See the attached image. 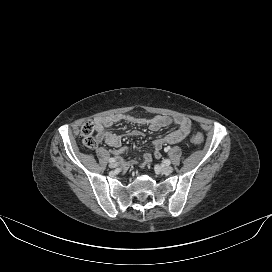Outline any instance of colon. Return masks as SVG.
<instances>
[{"mask_svg": "<svg viewBox=\"0 0 272 272\" xmlns=\"http://www.w3.org/2000/svg\"><path fill=\"white\" fill-rule=\"evenodd\" d=\"M94 122L91 120H88L84 122V124L81 127V136H82V143L84 146L88 148H94L97 144V140L94 136ZM191 142L199 145L203 142V136L201 134H195L191 138Z\"/></svg>", "mask_w": 272, "mask_h": 272, "instance_id": "obj_1", "label": "colon"}]
</instances>
